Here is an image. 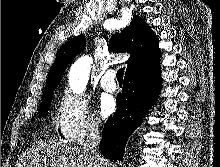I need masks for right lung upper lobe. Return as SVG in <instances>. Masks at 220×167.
I'll use <instances>...</instances> for the list:
<instances>
[{"label": "right lung upper lobe", "mask_w": 220, "mask_h": 167, "mask_svg": "<svg viewBox=\"0 0 220 167\" xmlns=\"http://www.w3.org/2000/svg\"><path fill=\"white\" fill-rule=\"evenodd\" d=\"M109 45L115 53L128 52L131 54L126 61V74L145 66L159 64L161 53L158 49V38L139 16L135 15L129 26L124 28L121 33L113 35ZM84 47V35H80L59 49L56 60L50 68L42 98L52 96V92L60 83L67 65Z\"/></svg>", "instance_id": "obj_1"}]
</instances>
